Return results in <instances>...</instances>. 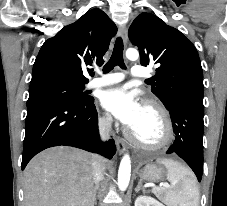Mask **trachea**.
<instances>
[{
	"label": "trachea",
	"mask_w": 227,
	"mask_h": 206,
	"mask_svg": "<svg viewBox=\"0 0 227 206\" xmlns=\"http://www.w3.org/2000/svg\"><path fill=\"white\" fill-rule=\"evenodd\" d=\"M115 66H120L122 69H125V64L123 61V40L121 37H118L115 41L114 49L110 60L103 67V72H110Z\"/></svg>",
	"instance_id": "3493384b"
}]
</instances>
